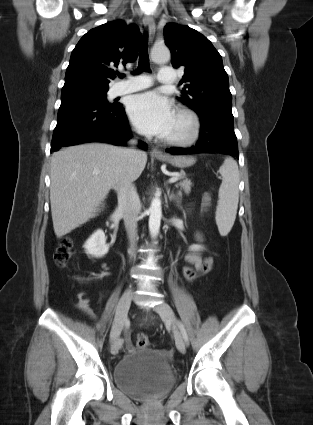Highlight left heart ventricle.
Listing matches in <instances>:
<instances>
[{"instance_id": "b2bd125f", "label": "left heart ventricle", "mask_w": 313, "mask_h": 425, "mask_svg": "<svg viewBox=\"0 0 313 425\" xmlns=\"http://www.w3.org/2000/svg\"><path fill=\"white\" fill-rule=\"evenodd\" d=\"M187 130H188L187 122L183 118H180L175 115L172 127L166 137L181 135V134H184Z\"/></svg>"}]
</instances>
